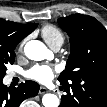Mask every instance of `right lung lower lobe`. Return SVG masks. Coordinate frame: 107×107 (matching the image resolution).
<instances>
[{"label": "right lung lower lobe", "mask_w": 107, "mask_h": 107, "mask_svg": "<svg viewBox=\"0 0 107 107\" xmlns=\"http://www.w3.org/2000/svg\"><path fill=\"white\" fill-rule=\"evenodd\" d=\"M39 91L38 83L26 81L17 88H7L0 81V107H19L20 103L29 97H34Z\"/></svg>", "instance_id": "98d812e1"}]
</instances>
